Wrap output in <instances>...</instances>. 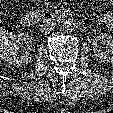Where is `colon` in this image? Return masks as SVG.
I'll list each match as a JSON object with an SVG mask.
<instances>
[{"instance_id": "obj_1", "label": "colon", "mask_w": 113, "mask_h": 113, "mask_svg": "<svg viewBox=\"0 0 113 113\" xmlns=\"http://www.w3.org/2000/svg\"><path fill=\"white\" fill-rule=\"evenodd\" d=\"M10 40H11L10 31L0 24V58L2 57L5 49L9 46Z\"/></svg>"}]
</instances>
